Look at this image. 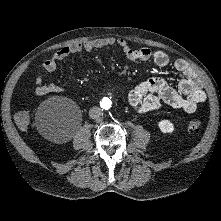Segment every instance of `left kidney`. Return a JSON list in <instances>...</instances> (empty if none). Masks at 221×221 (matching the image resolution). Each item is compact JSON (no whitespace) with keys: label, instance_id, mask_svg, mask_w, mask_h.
I'll use <instances>...</instances> for the list:
<instances>
[{"label":"left kidney","instance_id":"left-kidney-1","mask_svg":"<svg viewBox=\"0 0 221 221\" xmlns=\"http://www.w3.org/2000/svg\"><path fill=\"white\" fill-rule=\"evenodd\" d=\"M158 127L163 133H172L174 131V125L170 120H161L158 123Z\"/></svg>","mask_w":221,"mask_h":221}]
</instances>
